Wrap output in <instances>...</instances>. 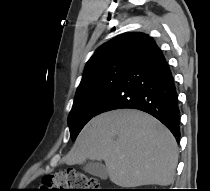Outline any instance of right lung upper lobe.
<instances>
[{
	"label": "right lung upper lobe",
	"mask_w": 210,
	"mask_h": 191,
	"mask_svg": "<svg viewBox=\"0 0 210 191\" xmlns=\"http://www.w3.org/2000/svg\"><path fill=\"white\" fill-rule=\"evenodd\" d=\"M149 38L150 37L144 33L134 32L122 34L106 42L96 50L87 62L81 83L95 69L112 60L117 58L131 59Z\"/></svg>",
	"instance_id": "obj_1"
}]
</instances>
